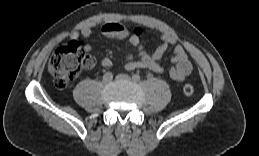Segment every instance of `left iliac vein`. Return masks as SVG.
I'll use <instances>...</instances> for the list:
<instances>
[{
	"mask_svg": "<svg viewBox=\"0 0 259 156\" xmlns=\"http://www.w3.org/2000/svg\"><path fill=\"white\" fill-rule=\"evenodd\" d=\"M117 80H125V81H131L130 76L126 75V74H120L116 76Z\"/></svg>",
	"mask_w": 259,
	"mask_h": 156,
	"instance_id": "obj_1",
	"label": "left iliac vein"
}]
</instances>
